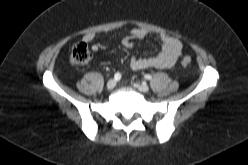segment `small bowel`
Segmentation results:
<instances>
[{
  "label": "small bowel",
  "instance_id": "small-bowel-1",
  "mask_svg": "<svg viewBox=\"0 0 248 165\" xmlns=\"http://www.w3.org/2000/svg\"><path fill=\"white\" fill-rule=\"evenodd\" d=\"M149 31L144 28H134L130 30L123 38L122 43L125 47L131 48L135 45L137 40H142L147 37ZM161 48L159 52L150 57H131L129 65L132 70L140 71L148 68H170L179 58L182 51V43L175 37L159 34L157 36ZM95 40L94 33L84 35L83 41L85 43H92ZM107 45L102 42H96L92 45L94 51L106 49Z\"/></svg>",
  "mask_w": 248,
  "mask_h": 165
}]
</instances>
